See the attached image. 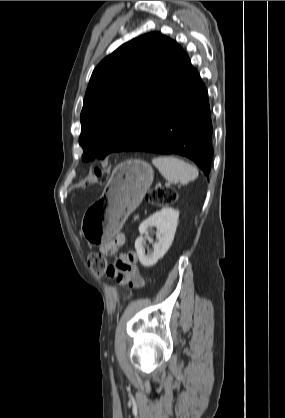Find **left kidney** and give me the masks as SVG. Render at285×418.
Returning <instances> with one entry per match:
<instances>
[{
	"instance_id": "left-kidney-1",
	"label": "left kidney",
	"mask_w": 285,
	"mask_h": 418,
	"mask_svg": "<svg viewBox=\"0 0 285 418\" xmlns=\"http://www.w3.org/2000/svg\"><path fill=\"white\" fill-rule=\"evenodd\" d=\"M179 211L170 207H164L144 220L139 226L140 237L135 241V249L140 263L145 267L153 266L162 258L170 248L176 228L178 225ZM156 227L158 230V241L154 244V251L146 255L143 247V235L148 232V228Z\"/></svg>"
}]
</instances>
